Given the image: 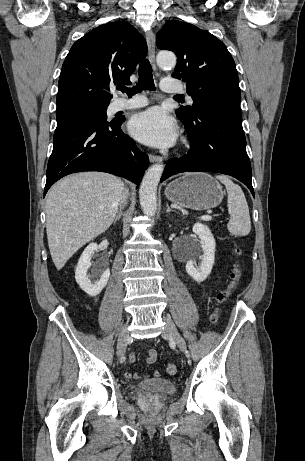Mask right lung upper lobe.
<instances>
[{"instance_id":"obj_1","label":"right lung upper lobe","mask_w":305,"mask_h":461,"mask_svg":"<svg viewBox=\"0 0 305 461\" xmlns=\"http://www.w3.org/2000/svg\"><path fill=\"white\" fill-rule=\"evenodd\" d=\"M146 54L145 39L127 22L107 23L91 30L73 44L62 65L57 108L109 104L110 86L130 84V74Z\"/></svg>"}]
</instances>
